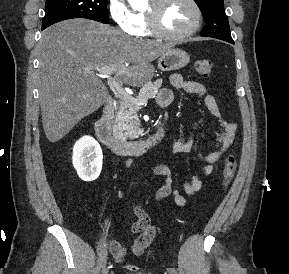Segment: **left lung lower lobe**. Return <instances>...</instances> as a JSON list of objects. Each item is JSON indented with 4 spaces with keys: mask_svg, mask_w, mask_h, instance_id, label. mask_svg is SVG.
<instances>
[{
    "mask_svg": "<svg viewBox=\"0 0 289 274\" xmlns=\"http://www.w3.org/2000/svg\"><path fill=\"white\" fill-rule=\"evenodd\" d=\"M224 41H226V40H224ZM227 42L232 43V44L234 43L233 40H228Z\"/></svg>",
    "mask_w": 289,
    "mask_h": 274,
    "instance_id": "left-lung-lower-lobe-1",
    "label": "left lung lower lobe"
}]
</instances>
